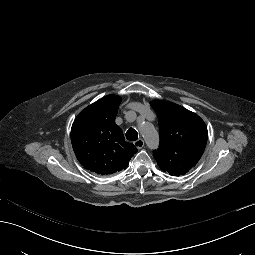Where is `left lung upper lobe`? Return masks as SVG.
Segmentation results:
<instances>
[{
  "label": "left lung upper lobe",
  "instance_id": "left-lung-upper-lobe-1",
  "mask_svg": "<svg viewBox=\"0 0 255 255\" xmlns=\"http://www.w3.org/2000/svg\"><path fill=\"white\" fill-rule=\"evenodd\" d=\"M159 121L160 146L154 151L159 167L172 176L186 174L201 158L208 131L195 113L174 103L153 101Z\"/></svg>",
  "mask_w": 255,
  "mask_h": 255
}]
</instances>
